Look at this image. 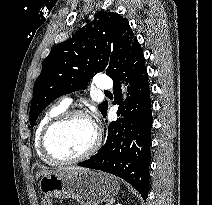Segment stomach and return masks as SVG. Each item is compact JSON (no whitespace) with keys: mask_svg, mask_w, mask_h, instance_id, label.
<instances>
[{"mask_svg":"<svg viewBox=\"0 0 212 205\" xmlns=\"http://www.w3.org/2000/svg\"><path fill=\"white\" fill-rule=\"evenodd\" d=\"M43 194L52 198H71L81 205L111 202L120 186L106 173L92 170H59L44 174L39 182Z\"/></svg>","mask_w":212,"mask_h":205,"instance_id":"stomach-1","label":"stomach"}]
</instances>
